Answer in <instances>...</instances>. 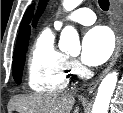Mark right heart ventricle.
<instances>
[{
  "mask_svg": "<svg viewBox=\"0 0 123 113\" xmlns=\"http://www.w3.org/2000/svg\"><path fill=\"white\" fill-rule=\"evenodd\" d=\"M69 58L55 46L54 32L46 28L36 38L28 59V85L39 93L63 91L69 81Z\"/></svg>",
  "mask_w": 123,
  "mask_h": 113,
  "instance_id": "e07e8e85",
  "label": "right heart ventricle"
}]
</instances>
